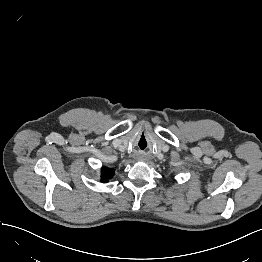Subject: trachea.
Listing matches in <instances>:
<instances>
[{"instance_id": "3493384b", "label": "trachea", "mask_w": 262, "mask_h": 262, "mask_svg": "<svg viewBox=\"0 0 262 262\" xmlns=\"http://www.w3.org/2000/svg\"><path fill=\"white\" fill-rule=\"evenodd\" d=\"M139 144L145 145L146 144L145 138H141L139 141Z\"/></svg>"}]
</instances>
